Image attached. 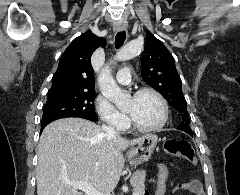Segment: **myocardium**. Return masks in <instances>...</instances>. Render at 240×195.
I'll use <instances>...</instances> for the list:
<instances>
[{"mask_svg": "<svg viewBox=\"0 0 240 195\" xmlns=\"http://www.w3.org/2000/svg\"><path fill=\"white\" fill-rule=\"evenodd\" d=\"M146 93L152 94L158 99V101L161 105L162 113H161V118L158 123H156L155 125H152V126L143 127V126H140L137 123H135L133 121V119L131 118V116L128 113L124 112L126 128H130L139 133L156 132V131L160 130L162 127H164V125L166 124V122L168 120V114H169L168 104H167L164 96L159 91H157L153 88L144 87V88L137 90L134 93L133 98H136V97L141 96Z\"/></svg>", "mask_w": 240, "mask_h": 195, "instance_id": "1", "label": "myocardium"}]
</instances>
